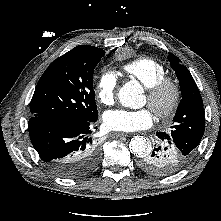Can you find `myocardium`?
I'll use <instances>...</instances> for the list:
<instances>
[{
    "label": "myocardium",
    "instance_id": "obj_1",
    "mask_svg": "<svg viewBox=\"0 0 221 221\" xmlns=\"http://www.w3.org/2000/svg\"><path fill=\"white\" fill-rule=\"evenodd\" d=\"M181 94L179 82L169 76L147 87L149 105L160 119H167L174 115L179 107ZM164 97L167 99L163 103Z\"/></svg>",
    "mask_w": 221,
    "mask_h": 221
}]
</instances>
